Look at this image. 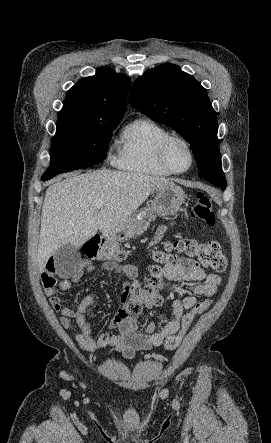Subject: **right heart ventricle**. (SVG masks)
<instances>
[{
  "instance_id": "1",
  "label": "right heart ventricle",
  "mask_w": 271,
  "mask_h": 443,
  "mask_svg": "<svg viewBox=\"0 0 271 443\" xmlns=\"http://www.w3.org/2000/svg\"><path fill=\"white\" fill-rule=\"evenodd\" d=\"M168 134L163 125L148 116L134 118L122 132L116 166L152 176L172 175L159 160L157 152L160 141Z\"/></svg>"
}]
</instances>
